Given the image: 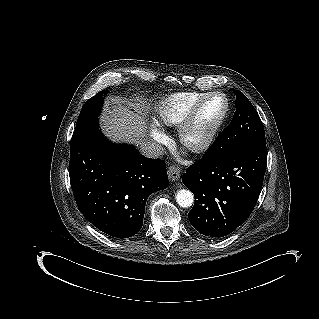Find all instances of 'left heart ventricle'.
<instances>
[{"instance_id":"b2bd125f","label":"left heart ventricle","mask_w":319,"mask_h":319,"mask_svg":"<svg viewBox=\"0 0 319 319\" xmlns=\"http://www.w3.org/2000/svg\"><path fill=\"white\" fill-rule=\"evenodd\" d=\"M220 98L211 99L200 111L197 120L187 134V141L194 143L200 140L212 127L223 109Z\"/></svg>"}]
</instances>
